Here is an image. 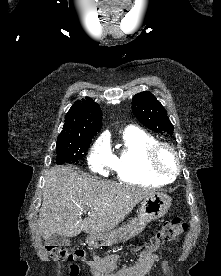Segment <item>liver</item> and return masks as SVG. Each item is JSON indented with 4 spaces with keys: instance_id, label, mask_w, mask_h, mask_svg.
<instances>
[{
    "instance_id": "liver-1",
    "label": "liver",
    "mask_w": 221,
    "mask_h": 276,
    "mask_svg": "<svg viewBox=\"0 0 221 276\" xmlns=\"http://www.w3.org/2000/svg\"><path fill=\"white\" fill-rule=\"evenodd\" d=\"M154 193L146 188L89 178L70 166H55L45 178L39 231L45 240L55 233L74 237L82 231L109 232L140 201ZM85 210L90 213L82 220Z\"/></svg>"
}]
</instances>
